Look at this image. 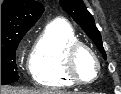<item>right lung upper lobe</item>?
Segmentation results:
<instances>
[{
    "label": "right lung upper lobe",
    "mask_w": 121,
    "mask_h": 94,
    "mask_svg": "<svg viewBox=\"0 0 121 94\" xmlns=\"http://www.w3.org/2000/svg\"><path fill=\"white\" fill-rule=\"evenodd\" d=\"M44 12L35 0H5L1 5V36L29 30Z\"/></svg>",
    "instance_id": "obj_1"
}]
</instances>
